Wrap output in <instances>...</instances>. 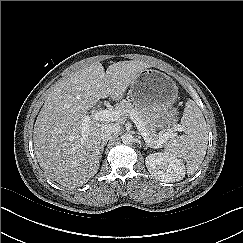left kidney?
I'll return each mask as SVG.
<instances>
[{
	"mask_svg": "<svg viewBox=\"0 0 243 243\" xmlns=\"http://www.w3.org/2000/svg\"><path fill=\"white\" fill-rule=\"evenodd\" d=\"M145 164L148 171L162 182L180 181L185 176V165L183 161L163 153L148 155Z\"/></svg>",
	"mask_w": 243,
	"mask_h": 243,
	"instance_id": "obj_1",
	"label": "left kidney"
}]
</instances>
